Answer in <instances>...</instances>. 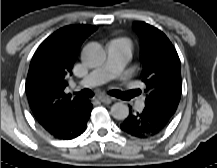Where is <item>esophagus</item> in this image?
Returning a JSON list of instances; mask_svg holds the SVG:
<instances>
[{"label":"esophagus","mask_w":217,"mask_h":168,"mask_svg":"<svg viewBox=\"0 0 217 168\" xmlns=\"http://www.w3.org/2000/svg\"><path fill=\"white\" fill-rule=\"evenodd\" d=\"M98 99L104 104H110L113 101V98L107 95H101Z\"/></svg>","instance_id":"1"}]
</instances>
